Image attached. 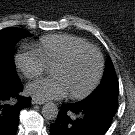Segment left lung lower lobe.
<instances>
[{
    "mask_svg": "<svg viewBox=\"0 0 135 135\" xmlns=\"http://www.w3.org/2000/svg\"><path fill=\"white\" fill-rule=\"evenodd\" d=\"M115 96L63 104L57 120L50 125L51 135H104L117 111Z\"/></svg>",
    "mask_w": 135,
    "mask_h": 135,
    "instance_id": "left-lung-lower-lobe-1",
    "label": "left lung lower lobe"
}]
</instances>
